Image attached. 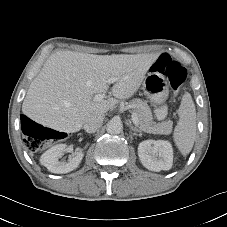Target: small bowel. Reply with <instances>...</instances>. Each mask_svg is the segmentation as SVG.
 <instances>
[{"label": "small bowel", "instance_id": "1", "mask_svg": "<svg viewBox=\"0 0 227 227\" xmlns=\"http://www.w3.org/2000/svg\"><path fill=\"white\" fill-rule=\"evenodd\" d=\"M165 114H166V111H165L164 108H159V109H157V116H158L159 118H163V117L165 116Z\"/></svg>", "mask_w": 227, "mask_h": 227}]
</instances>
